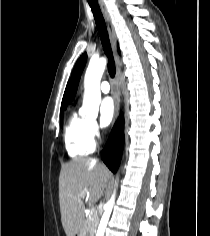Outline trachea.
<instances>
[{"mask_svg": "<svg viewBox=\"0 0 210 236\" xmlns=\"http://www.w3.org/2000/svg\"><path fill=\"white\" fill-rule=\"evenodd\" d=\"M88 3L91 7V10H92V13H93V16L95 19L96 27H97L98 33L100 35L103 50L108 58V72H109L110 76L113 78L115 76V72H116L115 62L113 59V54H112V50H111V45H110V41H109V36H108L105 20L103 18V15L101 13V10H100V7H99L97 1L96 0H88Z\"/></svg>", "mask_w": 210, "mask_h": 236, "instance_id": "trachea-1", "label": "trachea"}]
</instances>
